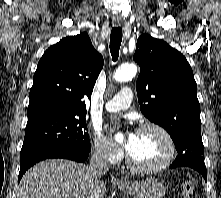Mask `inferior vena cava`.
<instances>
[{
  "mask_svg": "<svg viewBox=\"0 0 221 198\" xmlns=\"http://www.w3.org/2000/svg\"><path fill=\"white\" fill-rule=\"evenodd\" d=\"M90 171L92 174L100 178L109 170L108 153L107 150L101 147H97L90 159Z\"/></svg>",
  "mask_w": 221,
  "mask_h": 198,
  "instance_id": "inferior-vena-cava-1",
  "label": "inferior vena cava"
}]
</instances>
